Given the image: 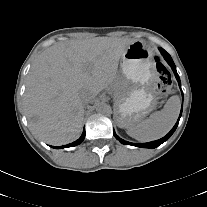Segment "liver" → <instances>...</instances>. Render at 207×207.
<instances>
[{
    "label": "liver",
    "mask_w": 207,
    "mask_h": 207,
    "mask_svg": "<svg viewBox=\"0 0 207 207\" xmlns=\"http://www.w3.org/2000/svg\"><path fill=\"white\" fill-rule=\"evenodd\" d=\"M135 40L95 37L59 42L43 51L28 75L25 113L31 131L51 145L76 140L84 117L80 94L112 85L119 60Z\"/></svg>",
    "instance_id": "obj_1"
}]
</instances>
